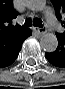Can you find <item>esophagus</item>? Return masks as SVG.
<instances>
[{"label":"esophagus","mask_w":65,"mask_h":89,"mask_svg":"<svg viewBox=\"0 0 65 89\" xmlns=\"http://www.w3.org/2000/svg\"><path fill=\"white\" fill-rule=\"evenodd\" d=\"M33 30L35 32H37L38 34H40V35H43V34H45L47 32L46 28H36V27H33Z\"/></svg>","instance_id":"obj_1"}]
</instances>
